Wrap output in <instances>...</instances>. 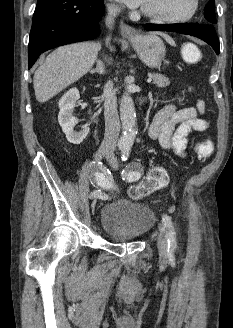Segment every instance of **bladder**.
<instances>
[{"label":"bladder","mask_w":233,"mask_h":328,"mask_svg":"<svg viewBox=\"0 0 233 328\" xmlns=\"http://www.w3.org/2000/svg\"><path fill=\"white\" fill-rule=\"evenodd\" d=\"M155 223V216L145 205L125 198L106 203L100 211V224L110 237L131 240L145 234Z\"/></svg>","instance_id":"31cf9c89"}]
</instances>
